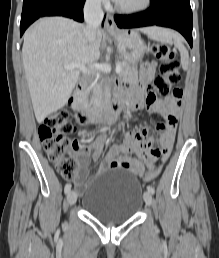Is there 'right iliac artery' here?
Wrapping results in <instances>:
<instances>
[{
    "mask_svg": "<svg viewBox=\"0 0 219 258\" xmlns=\"http://www.w3.org/2000/svg\"><path fill=\"white\" fill-rule=\"evenodd\" d=\"M70 190H71V184H66V185H65V188H64V192H65L66 194H68V193L70 192Z\"/></svg>",
    "mask_w": 219,
    "mask_h": 258,
    "instance_id": "right-iliac-artery-1",
    "label": "right iliac artery"
}]
</instances>
